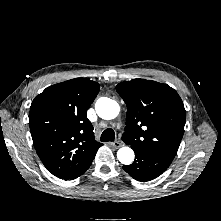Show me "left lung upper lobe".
Returning <instances> with one entry per match:
<instances>
[{
    "instance_id": "left-lung-upper-lobe-1",
    "label": "left lung upper lobe",
    "mask_w": 221,
    "mask_h": 221,
    "mask_svg": "<svg viewBox=\"0 0 221 221\" xmlns=\"http://www.w3.org/2000/svg\"><path fill=\"white\" fill-rule=\"evenodd\" d=\"M116 90L127 105L122 140L131 148L173 159L186 119L178 93L167 84L145 79L121 82Z\"/></svg>"
}]
</instances>
